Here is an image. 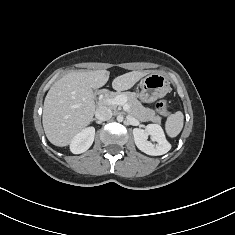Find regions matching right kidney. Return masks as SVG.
I'll use <instances>...</instances> for the list:
<instances>
[{"instance_id":"obj_1","label":"right kidney","mask_w":235,"mask_h":235,"mask_svg":"<svg viewBox=\"0 0 235 235\" xmlns=\"http://www.w3.org/2000/svg\"><path fill=\"white\" fill-rule=\"evenodd\" d=\"M95 128L87 127L74 136L70 143V150L73 154H81L87 151L93 144Z\"/></svg>"}]
</instances>
